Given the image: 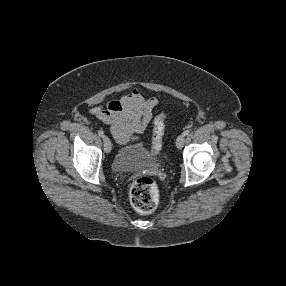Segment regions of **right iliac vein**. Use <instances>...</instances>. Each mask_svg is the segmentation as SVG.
I'll use <instances>...</instances> for the list:
<instances>
[{"label":"right iliac vein","mask_w":286,"mask_h":286,"mask_svg":"<svg viewBox=\"0 0 286 286\" xmlns=\"http://www.w3.org/2000/svg\"><path fill=\"white\" fill-rule=\"evenodd\" d=\"M103 145H104V150L105 152L108 154L111 152V148H112V145H111V141L110 139L107 137V136H104L103 137Z\"/></svg>","instance_id":"1"}]
</instances>
